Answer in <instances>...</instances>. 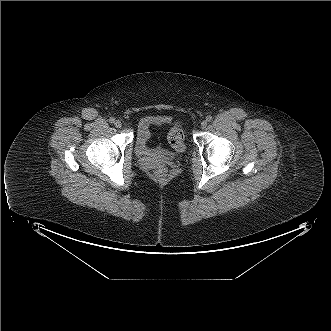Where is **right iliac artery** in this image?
Returning a JSON list of instances; mask_svg holds the SVG:
<instances>
[{
  "label": "right iliac artery",
  "instance_id": "82829eb1",
  "mask_svg": "<svg viewBox=\"0 0 331 331\" xmlns=\"http://www.w3.org/2000/svg\"><path fill=\"white\" fill-rule=\"evenodd\" d=\"M109 121H110V123H114V122H115V118L111 117V118L109 119Z\"/></svg>",
  "mask_w": 331,
  "mask_h": 331
}]
</instances>
